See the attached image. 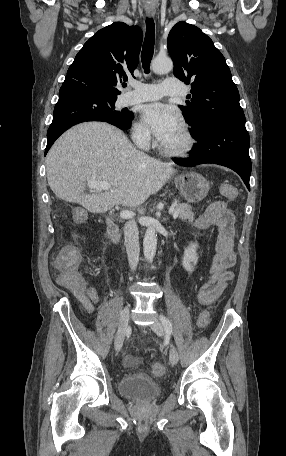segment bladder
Returning a JSON list of instances; mask_svg holds the SVG:
<instances>
[{"mask_svg": "<svg viewBox=\"0 0 286 456\" xmlns=\"http://www.w3.org/2000/svg\"><path fill=\"white\" fill-rule=\"evenodd\" d=\"M119 393L136 402L155 401L163 393V387L151 377L140 374H127L119 380Z\"/></svg>", "mask_w": 286, "mask_h": 456, "instance_id": "bladder-1", "label": "bladder"}]
</instances>
